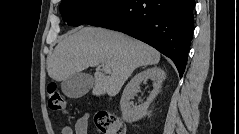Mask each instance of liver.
<instances>
[{
	"label": "liver",
	"instance_id": "obj_1",
	"mask_svg": "<svg viewBox=\"0 0 239 134\" xmlns=\"http://www.w3.org/2000/svg\"><path fill=\"white\" fill-rule=\"evenodd\" d=\"M160 53L151 46L125 34L97 27H83L65 37L55 47L48 62V75L55 81L100 63L109 66L108 75L96 71L92 94L115 96L132 72L154 65Z\"/></svg>",
	"mask_w": 239,
	"mask_h": 134
}]
</instances>
